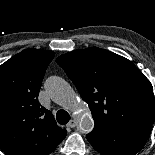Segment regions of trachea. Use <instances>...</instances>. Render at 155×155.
<instances>
[{"mask_svg":"<svg viewBox=\"0 0 155 155\" xmlns=\"http://www.w3.org/2000/svg\"><path fill=\"white\" fill-rule=\"evenodd\" d=\"M56 118L58 123L62 125H65L71 119L69 113L65 110H59L56 113Z\"/></svg>","mask_w":155,"mask_h":155,"instance_id":"trachea-1","label":"trachea"}]
</instances>
